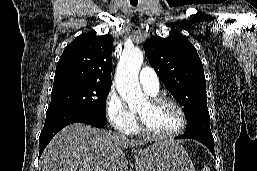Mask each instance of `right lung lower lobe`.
<instances>
[{"label":"right lung lower lobe","instance_id":"right-lung-lower-lobe-1","mask_svg":"<svg viewBox=\"0 0 257 171\" xmlns=\"http://www.w3.org/2000/svg\"><path fill=\"white\" fill-rule=\"evenodd\" d=\"M75 122H82L95 127H102L107 123L105 118L81 108L64 107L47 110L45 124L39 137V157L56 133Z\"/></svg>","mask_w":257,"mask_h":171}]
</instances>
